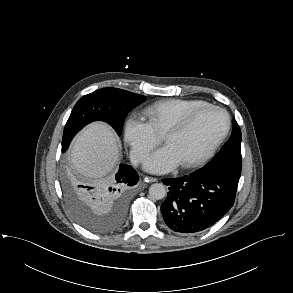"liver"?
Here are the masks:
<instances>
[{
    "label": "liver",
    "instance_id": "1",
    "mask_svg": "<svg viewBox=\"0 0 293 293\" xmlns=\"http://www.w3.org/2000/svg\"><path fill=\"white\" fill-rule=\"evenodd\" d=\"M120 143L106 124L92 123L75 139L71 163L87 179H101L111 172L120 158Z\"/></svg>",
    "mask_w": 293,
    "mask_h": 293
}]
</instances>
